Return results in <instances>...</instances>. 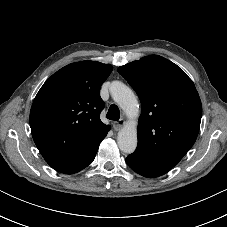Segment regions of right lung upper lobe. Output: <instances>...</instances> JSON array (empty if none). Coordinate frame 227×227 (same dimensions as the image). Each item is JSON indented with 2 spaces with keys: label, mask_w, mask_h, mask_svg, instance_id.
Masks as SVG:
<instances>
[{
  "label": "right lung upper lobe",
  "mask_w": 227,
  "mask_h": 227,
  "mask_svg": "<svg viewBox=\"0 0 227 227\" xmlns=\"http://www.w3.org/2000/svg\"><path fill=\"white\" fill-rule=\"evenodd\" d=\"M113 67L96 61L69 64L37 93L30 111L34 142L58 172L73 174L95 158L109 127L100 120L102 83Z\"/></svg>",
  "instance_id": "right-lung-upper-lobe-1"
}]
</instances>
